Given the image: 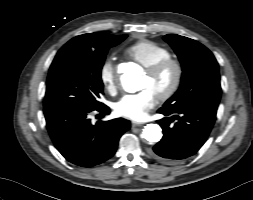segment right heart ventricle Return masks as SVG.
Listing matches in <instances>:
<instances>
[{"label": "right heart ventricle", "instance_id": "1", "mask_svg": "<svg viewBox=\"0 0 253 200\" xmlns=\"http://www.w3.org/2000/svg\"><path fill=\"white\" fill-rule=\"evenodd\" d=\"M124 54L128 59L145 68L171 57L168 48L151 40H141L134 43L125 49Z\"/></svg>", "mask_w": 253, "mask_h": 200}]
</instances>
